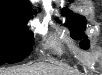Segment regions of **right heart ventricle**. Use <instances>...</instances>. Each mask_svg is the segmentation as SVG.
Returning <instances> with one entry per match:
<instances>
[{
  "label": "right heart ventricle",
  "instance_id": "1",
  "mask_svg": "<svg viewBox=\"0 0 102 75\" xmlns=\"http://www.w3.org/2000/svg\"><path fill=\"white\" fill-rule=\"evenodd\" d=\"M50 47H51V49H53V51L60 52V48L55 41L50 42Z\"/></svg>",
  "mask_w": 102,
  "mask_h": 75
}]
</instances>
